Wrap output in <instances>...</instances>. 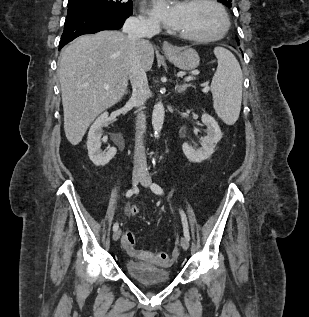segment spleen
<instances>
[{"mask_svg": "<svg viewBox=\"0 0 309 317\" xmlns=\"http://www.w3.org/2000/svg\"><path fill=\"white\" fill-rule=\"evenodd\" d=\"M217 70L211 82L216 114L227 124L239 118L242 101L243 74L235 56L223 47H216Z\"/></svg>", "mask_w": 309, "mask_h": 317, "instance_id": "1", "label": "spleen"}]
</instances>
